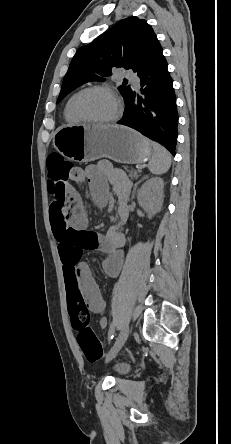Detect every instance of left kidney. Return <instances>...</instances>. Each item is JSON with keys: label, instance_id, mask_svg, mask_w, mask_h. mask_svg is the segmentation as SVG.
<instances>
[{"label": "left kidney", "instance_id": "1", "mask_svg": "<svg viewBox=\"0 0 231 444\" xmlns=\"http://www.w3.org/2000/svg\"><path fill=\"white\" fill-rule=\"evenodd\" d=\"M164 181L162 178L154 177L148 179L139 189L137 200L139 205L148 214L149 219L158 213L164 199Z\"/></svg>", "mask_w": 231, "mask_h": 444}]
</instances>
